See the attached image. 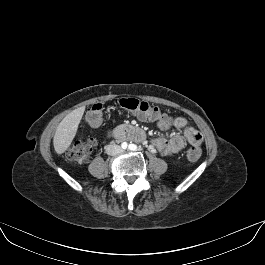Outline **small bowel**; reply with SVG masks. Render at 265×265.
Listing matches in <instances>:
<instances>
[{
  "instance_id": "1",
  "label": "small bowel",
  "mask_w": 265,
  "mask_h": 265,
  "mask_svg": "<svg viewBox=\"0 0 265 265\" xmlns=\"http://www.w3.org/2000/svg\"><path fill=\"white\" fill-rule=\"evenodd\" d=\"M137 117L141 121L155 123L163 131L170 129L182 131L183 135L173 134L169 137L159 136L152 139V147L162 155L170 156L180 152L185 147L186 142L192 146H198L202 142L201 134L190 127L187 120L183 117L172 118L164 115L163 117L155 118L141 114H138Z\"/></svg>"
}]
</instances>
